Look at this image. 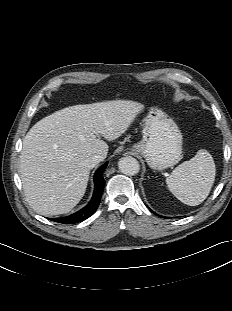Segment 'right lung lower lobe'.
Here are the masks:
<instances>
[{
    "instance_id": "98d812e1",
    "label": "right lung lower lobe",
    "mask_w": 232,
    "mask_h": 311,
    "mask_svg": "<svg viewBox=\"0 0 232 311\" xmlns=\"http://www.w3.org/2000/svg\"><path fill=\"white\" fill-rule=\"evenodd\" d=\"M107 166V163H105L103 166H101L95 173L94 175V183H95V188H94V193L91 201L87 206H85L83 209L80 211L66 216L62 218H54L51 219L52 221L63 223V224H73V223H78L81 222L87 218H89L91 215H93L98 208V205L101 200V196L103 193L104 189V184L105 181L103 179V171L105 170Z\"/></svg>"
}]
</instances>
